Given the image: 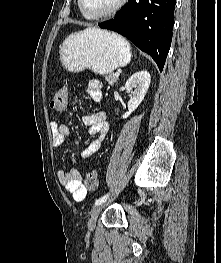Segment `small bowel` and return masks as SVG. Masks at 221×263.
I'll return each instance as SVG.
<instances>
[{"instance_id": "small-bowel-1", "label": "small bowel", "mask_w": 221, "mask_h": 263, "mask_svg": "<svg viewBox=\"0 0 221 263\" xmlns=\"http://www.w3.org/2000/svg\"><path fill=\"white\" fill-rule=\"evenodd\" d=\"M103 85L98 80H92L87 85V93L95 102L102 100ZM85 125L88 127V132L92 136H96L83 150L82 156L89 157L100 148L102 140L109 131V124L106 120V115L103 112H96L84 116ZM53 135V145L61 146L66 140L71 138V132L68 126L53 122L51 124ZM58 179L62 186L72 195L75 202H81L86 196V189L81 182V173L78 169H71L68 172L63 169L58 170Z\"/></svg>"}]
</instances>
